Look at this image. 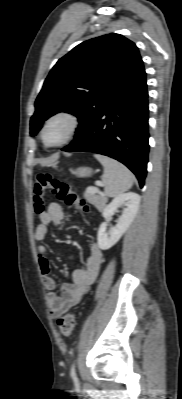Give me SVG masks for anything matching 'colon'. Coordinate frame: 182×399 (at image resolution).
Returning a JSON list of instances; mask_svg holds the SVG:
<instances>
[{"mask_svg":"<svg viewBox=\"0 0 182 399\" xmlns=\"http://www.w3.org/2000/svg\"><path fill=\"white\" fill-rule=\"evenodd\" d=\"M48 191L54 193L66 205L73 206L82 213H90V207L78 193L73 191L66 182L55 178L48 172H39L36 175L33 186V205L36 213L42 214L44 212ZM57 325L64 336L71 335L75 326L74 314L60 316Z\"/></svg>","mask_w":182,"mask_h":399,"instance_id":"5ec220e1","label":"colon"}]
</instances>
